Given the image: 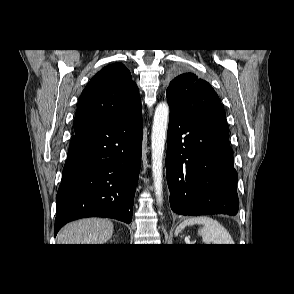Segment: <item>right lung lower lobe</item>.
Here are the masks:
<instances>
[{"label": "right lung lower lobe", "instance_id": "obj_1", "mask_svg": "<svg viewBox=\"0 0 294 294\" xmlns=\"http://www.w3.org/2000/svg\"><path fill=\"white\" fill-rule=\"evenodd\" d=\"M141 149V103L112 121L76 129L57 192L55 235L84 217L130 223Z\"/></svg>", "mask_w": 294, "mask_h": 294}]
</instances>
